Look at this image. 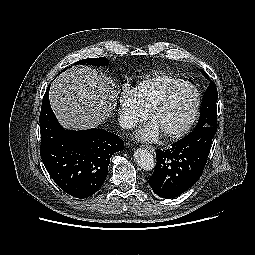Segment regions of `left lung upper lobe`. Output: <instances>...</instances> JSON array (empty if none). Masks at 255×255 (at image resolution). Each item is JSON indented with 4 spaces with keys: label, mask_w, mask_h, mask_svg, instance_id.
Masks as SVG:
<instances>
[{
    "label": "left lung upper lobe",
    "mask_w": 255,
    "mask_h": 255,
    "mask_svg": "<svg viewBox=\"0 0 255 255\" xmlns=\"http://www.w3.org/2000/svg\"><path fill=\"white\" fill-rule=\"evenodd\" d=\"M202 74L207 80H209V86L206 90L202 108L200 111V118L195 129H199L205 126L216 127L217 126V112L216 102L218 98L217 88L215 83L208 77V75L201 70Z\"/></svg>",
    "instance_id": "5c2ea615"
}]
</instances>
